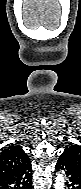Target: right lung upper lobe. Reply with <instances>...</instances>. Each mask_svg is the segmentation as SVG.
<instances>
[{
	"instance_id": "right-lung-upper-lobe-1",
	"label": "right lung upper lobe",
	"mask_w": 81,
	"mask_h": 189,
	"mask_svg": "<svg viewBox=\"0 0 81 189\" xmlns=\"http://www.w3.org/2000/svg\"><path fill=\"white\" fill-rule=\"evenodd\" d=\"M30 159L20 146L12 145L0 153V176L24 165Z\"/></svg>"
}]
</instances>
